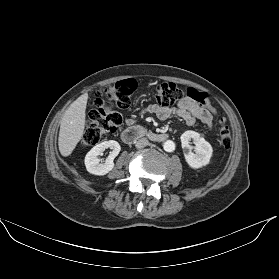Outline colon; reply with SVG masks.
<instances>
[{
	"instance_id": "5ec220e1",
	"label": "colon",
	"mask_w": 279,
	"mask_h": 279,
	"mask_svg": "<svg viewBox=\"0 0 279 279\" xmlns=\"http://www.w3.org/2000/svg\"><path fill=\"white\" fill-rule=\"evenodd\" d=\"M137 88L133 79H124L105 87L96 95V107L90 112L81 139L83 147L97 145L114 134L122 123L119 109H126L131 104V97ZM153 97L158 106H173L185 97H190L202 106L214 112L208 101L207 94L194 88L186 91L172 82L159 84L153 91ZM219 135L221 144L230 148L232 137L225 119L219 121Z\"/></svg>"
}]
</instances>
